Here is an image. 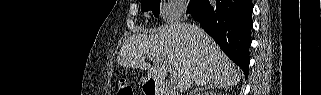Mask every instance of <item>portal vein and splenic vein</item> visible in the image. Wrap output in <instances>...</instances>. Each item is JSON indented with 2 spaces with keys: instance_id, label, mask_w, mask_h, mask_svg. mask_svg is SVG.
Masks as SVG:
<instances>
[{
  "instance_id": "1",
  "label": "portal vein and splenic vein",
  "mask_w": 321,
  "mask_h": 95,
  "mask_svg": "<svg viewBox=\"0 0 321 95\" xmlns=\"http://www.w3.org/2000/svg\"><path fill=\"white\" fill-rule=\"evenodd\" d=\"M167 67H168V70L170 71V73L173 74L171 77V83L175 85L176 84V75L173 71V68L170 65H167Z\"/></svg>"
}]
</instances>
